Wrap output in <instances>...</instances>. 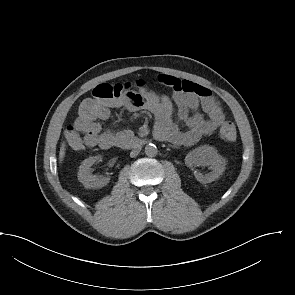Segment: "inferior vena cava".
Here are the masks:
<instances>
[{
    "mask_svg": "<svg viewBox=\"0 0 295 295\" xmlns=\"http://www.w3.org/2000/svg\"><path fill=\"white\" fill-rule=\"evenodd\" d=\"M140 150H141V146H140V145H135V146L133 147L131 153H130V156H131V157H135V156H137V155L139 154Z\"/></svg>",
    "mask_w": 295,
    "mask_h": 295,
    "instance_id": "602c4592",
    "label": "inferior vena cava"
}]
</instances>
